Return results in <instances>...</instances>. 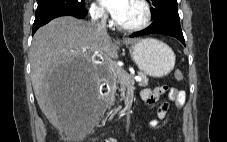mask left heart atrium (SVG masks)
Masks as SVG:
<instances>
[{"label": "left heart atrium", "instance_id": "left-heart-atrium-1", "mask_svg": "<svg viewBox=\"0 0 227 142\" xmlns=\"http://www.w3.org/2000/svg\"><path fill=\"white\" fill-rule=\"evenodd\" d=\"M101 5L110 13L115 19L119 20L128 3V0H99Z\"/></svg>", "mask_w": 227, "mask_h": 142}]
</instances>
